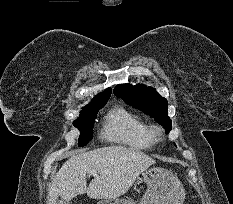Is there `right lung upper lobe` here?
<instances>
[{"label": "right lung upper lobe", "mask_w": 233, "mask_h": 204, "mask_svg": "<svg viewBox=\"0 0 233 204\" xmlns=\"http://www.w3.org/2000/svg\"><path fill=\"white\" fill-rule=\"evenodd\" d=\"M110 95H111V89L108 88V89H106L104 92L98 94V95L93 99V101H92L88 106H86V107L83 108V109H87V108H89L90 106H92V105H94V104H98V103H101V102L108 101Z\"/></svg>", "instance_id": "right-lung-upper-lobe-1"}]
</instances>
